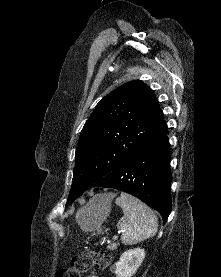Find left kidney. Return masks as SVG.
I'll use <instances>...</instances> for the list:
<instances>
[{
	"label": "left kidney",
	"instance_id": "1",
	"mask_svg": "<svg viewBox=\"0 0 221 277\" xmlns=\"http://www.w3.org/2000/svg\"><path fill=\"white\" fill-rule=\"evenodd\" d=\"M145 258V250L135 248L122 253L120 260L114 265L116 277H132Z\"/></svg>",
	"mask_w": 221,
	"mask_h": 277
}]
</instances>
